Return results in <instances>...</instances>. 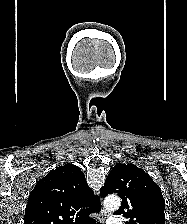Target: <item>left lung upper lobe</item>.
Here are the masks:
<instances>
[{
  "label": "left lung upper lobe",
  "instance_id": "left-lung-upper-lobe-1",
  "mask_svg": "<svg viewBox=\"0 0 187 224\" xmlns=\"http://www.w3.org/2000/svg\"><path fill=\"white\" fill-rule=\"evenodd\" d=\"M101 196L117 194L121 207L115 214L129 218L126 224H165V201L160 187L133 164H117L100 190Z\"/></svg>",
  "mask_w": 187,
  "mask_h": 224
}]
</instances>
